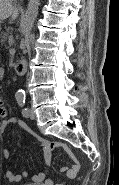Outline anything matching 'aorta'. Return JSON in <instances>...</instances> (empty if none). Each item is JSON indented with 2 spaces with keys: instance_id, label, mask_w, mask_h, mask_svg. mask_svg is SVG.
I'll return each instance as SVG.
<instances>
[{
  "instance_id": "762f6f07",
  "label": "aorta",
  "mask_w": 119,
  "mask_h": 185,
  "mask_svg": "<svg viewBox=\"0 0 119 185\" xmlns=\"http://www.w3.org/2000/svg\"><path fill=\"white\" fill-rule=\"evenodd\" d=\"M40 1L29 0L27 10L22 22V30L24 34H29L33 28L34 22L38 16ZM23 90H19V94H23Z\"/></svg>"
}]
</instances>
